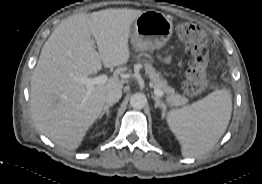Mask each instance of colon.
I'll list each match as a JSON object with an SVG mask.
<instances>
[{
    "instance_id": "1",
    "label": "colon",
    "mask_w": 262,
    "mask_h": 184,
    "mask_svg": "<svg viewBox=\"0 0 262 184\" xmlns=\"http://www.w3.org/2000/svg\"><path fill=\"white\" fill-rule=\"evenodd\" d=\"M176 32L187 54L191 57L185 70L183 88L191 96L200 95L208 85L207 34L202 27L190 22H180L176 27Z\"/></svg>"
}]
</instances>
